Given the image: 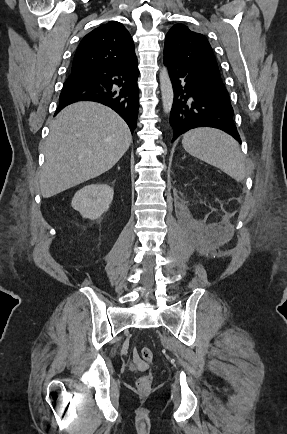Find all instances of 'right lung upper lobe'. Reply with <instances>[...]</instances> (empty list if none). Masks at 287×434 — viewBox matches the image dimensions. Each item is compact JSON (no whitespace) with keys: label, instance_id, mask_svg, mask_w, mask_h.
Returning <instances> with one entry per match:
<instances>
[{"label":"right lung upper lobe","instance_id":"obj_1","mask_svg":"<svg viewBox=\"0 0 287 434\" xmlns=\"http://www.w3.org/2000/svg\"><path fill=\"white\" fill-rule=\"evenodd\" d=\"M137 61L132 37L124 25L110 21L88 33L80 42L71 74Z\"/></svg>","mask_w":287,"mask_h":434}]
</instances>
